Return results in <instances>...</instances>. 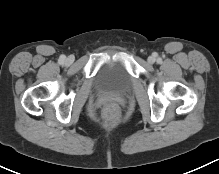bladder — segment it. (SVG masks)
Masks as SVG:
<instances>
[{
  "label": "bladder",
  "mask_w": 219,
  "mask_h": 174,
  "mask_svg": "<svg viewBox=\"0 0 219 174\" xmlns=\"http://www.w3.org/2000/svg\"><path fill=\"white\" fill-rule=\"evenodd\" d=\"M131 83L132 77L129 71L118 61L106 63L97 77V84L101 89L117 93L125 92Z\"/></svg>",
  "instance_id": "bladder-1"
}]
</instances>
